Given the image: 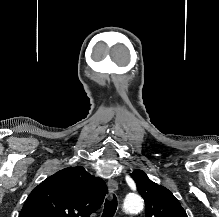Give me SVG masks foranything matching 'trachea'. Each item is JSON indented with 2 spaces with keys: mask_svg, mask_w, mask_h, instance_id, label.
Segmentation results:
<instances>
[{
  "mask_svg": "<svg viewBox=\"0 0 219 217\" xmlns=\"http://www.w3.org/2000/svg\"><path fill=\"white\" fill-rule=\"evenodd\" d=\"M117 209V198L113 195L112 200H106L102 217H113Z\"/></svg>",
  "mask_w": 219,
  "mask_h": 217,
  "instance_id": "obj_1",
  "label": "trachea"
}]
</instances>
